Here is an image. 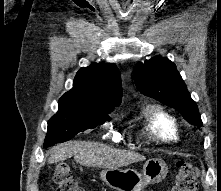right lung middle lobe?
Listing matches in <instances>:
<instances>
[{"instance_id": "dd1d6c3e", "label": "right lung middle lobe", "mask_w": 221, "mask_h": 191, "mask_svg": "<svg viewBox=\"0 0 221 191\" xmlns=\"http://www.w3.org/2000/svg\"><path fill=\"white\" fill-rule=\"evenodd\" d=\"M109 119L107 113L59 108L58 112L48 121V131L44 147L68 141L77 133L93 129Z\"/></svg>"}]
</instances>
